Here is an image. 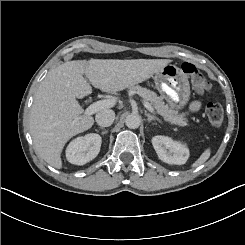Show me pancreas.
Here are the masks:
<instances>
[{
	"instance_id": "pancreas-1",
	"label": "pancreas",
	"mask_w": 245,
	"mask_h": 245,
	"mask_svg": "<svg viewBox=\"0 0 245 245\" xmlns=\"http://www.w3.org/2000/svg\"><path fill=\"white\" fill-rule=\"evenodd\" d=\"M127 94H137L141 96L144 100L149 101L157 113L162 116L166 121L171 122L172 124H178L181 126H186L187 122L180 117L178 111L175 110V105H166L163 102L162 96H159L156 92L148 90L139 85H130L126 89Z\"/></svg>"
}]
</instances>
